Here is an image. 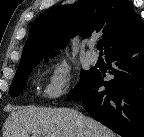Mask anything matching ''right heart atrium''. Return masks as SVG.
Listing matches in <instances>:
<instances>
[{
  "label": "right heart atrium",
  "instance_id": "right-heart-atrium-1",
  "mask_svg": "<svg viewBox=\"0 0 144 137\" xmlns=\"http://www.w3.org/2000/svg\"><path fill=\"white\" fill-rule=\"evenodd\" d=\"M72 80V68L70 64L62 60L56 63L47 79L44 87V95L47 99L55 100L68 93Z\"/></svg>",
  "mask_w": 144,
  "mask_h": 137
}]
</instances>
